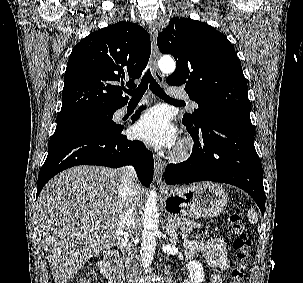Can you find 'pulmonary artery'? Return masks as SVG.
<instances>
[{
  "instance_id": "obj_1",
  "label": "pulmonary artery",
  "mask_w": 303,
  "mask_h": 283,
  "mask_svg": "<svg viewBox=\"0 0 303 283\" xmlns=\"http://www.w3.org/2000/svg\"><path fill=\"white\" fill-rule=\"evenodd\" d=\"M168 94L171 98L184 99L187 98V92L181 87H170L168 88ZM190 106L196 108L198 105L195 101L189 99ZM127 113V109L123 108L120 110V115L123 116Z\"/></svg>"
}]
</instances>
